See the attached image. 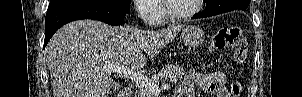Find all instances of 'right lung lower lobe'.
<instances>
[{
    "mask_svg": "<svg viewBox=\"0 0 302 97\" xmlns=\"http://www.w3.org/2000/svg\"><path fill=\"white\" fill-rule=\"evenodd\" d=\"M126 14L115 6L99 1H79L49 7L45 20L44 48L53 34L71 21L94 19L116 26L124 21Z\"/></svg>",
    "mask_w": 302,
    "mask_h": 97,
    "instance_id": "right-lung-lower-lobe-1",
    "label": "right lung lower lobe"
}]
</instances>
